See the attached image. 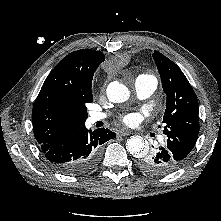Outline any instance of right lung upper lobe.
I'll use <instances>...</instances> for the list:
<instances>
[{
    "instance_id": "1",
    "label": "right lung upper lobe",
    "mask_w": 221,
    "mask_h": 221,
    "mask_svg": "<svg viewBox=\"0 0 221 221\" xmlns=\"http://www.w3.org/2000/svg\"><path fill=\"white\" fill-rule=\"evenodd\" d=\"M104 60L100 51L81 49L68 54L51 71L32 110L39 145L56 142L85 125L86 103L93 102V75Z\"/></svg>"
}]
</instances>
